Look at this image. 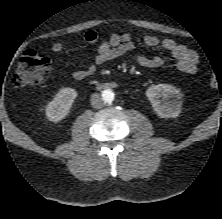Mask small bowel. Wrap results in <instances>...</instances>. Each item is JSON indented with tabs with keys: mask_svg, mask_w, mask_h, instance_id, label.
<instances>
[{
	"mask_svg": "<svg viewBox=\"0 0 222 219\" xmlns=\"http://www.w3.org/2000/svg\"><path fill=\"white\" fill-rule=\"evenodd\" d=\"M84 40L89 44H97L95 55L96 65L115 60L120 57L131 58L139 67L153 69L163 65L164 60L160 56H146L135 50V42L130 34H112L108 40L99 42L98 34L93 31H87ZM144 44L147 47H161L169 52L174 58L175 67L186 74H195L197 72L198 57L195 51L186 46L177 43L173 39L160 40L157 36L149 34L144 37ZM65 48L63 42H55L51 49L54 53H60ZM96 65H90L85 69L73 71L72 77L76 80H83L92 76L96 72Z\"/></svg>",
	"mask_w": 222,
	"mask_h": 219,
	"instance_id": "1",
	"label": "small bowel"
}]
</instances>
